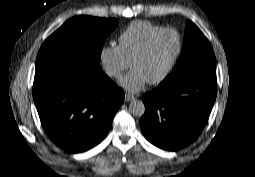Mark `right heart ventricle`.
Segmentation results:
<instances>
[{
	"label": "right heart ventricle",
	"instance_id": "obj_1",
	"mask_svg": "<svg viewBox=\"0 0 255 177\" xmlns=\"http://www.w3.org/2000/svg\"><path fill=\"white\" fill-rule=\"evenodd\" d=\"M163 28L148 21L131 22L119 37V46L126 60L131 62L147 39Z\"/></svg>",
	"mask_w": 255,
	"mask_h": 177
}]
</instances>
